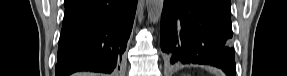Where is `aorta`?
I'll use <instances>...</instances> for the list:
<instances>
[{
	"label": "aorta",
	"mask_w": 287,
	"mask_h": 76,
	"mask_svg": "<svg viewBox=\"0 0 287 76\" xmlns=\"http://www.w3.org/2000/svg\"><path fill=\"white\" fill-rule=\"evenodd\" d=\"M163 4V0H146L148 18L150 19L151 23L155 24L160 20Z\"/></svg>",
	"instance_id": "obj_1"
}]
</instances>
